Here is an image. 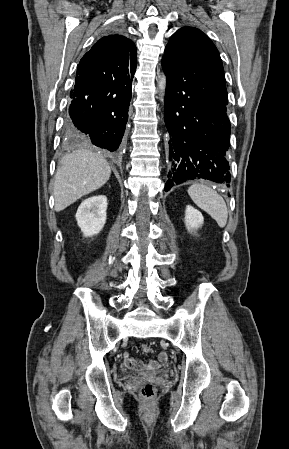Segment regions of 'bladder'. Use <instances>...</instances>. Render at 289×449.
<instances>
[{"label": "bladder", "mask_w": 289, "mask_h": 449, "mask_svg": "<svg viewBox=\"0 0 289 449\" xmlns=\"http://www.w3.org/2000/svg\"><path fill=\"white\" fill-rule=\"evenodd\" d=\"M164 373H165V371H155V372H153L154 375H157V374H164Z\"/></svg>", "instance_id": "obj_1"}]
</instances>
